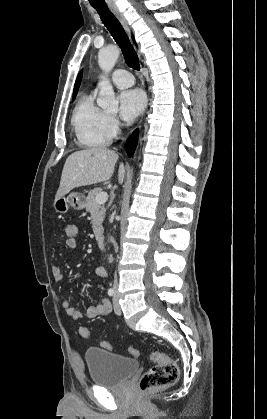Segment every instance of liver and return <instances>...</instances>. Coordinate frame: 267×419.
<instances>
[{
    "instance_id": "1",
    "label": "liver",
    "mask_w": 267,
    "mask_h": 419,
    "mask_svg": "<svg viewBox=\"0 0 267 419\" xmlns=\"http://www.w3.org/2000/svg\"><path fill=\"white\" fill-rule=\"evenodd\" d=\"M118 154L105 147H93L72 153L65 161L56 198L76 187L88 186L109 180L114 172ZM125 168L121 163L118 181L124 180Z\"/></svg>"
}]
</instances>
